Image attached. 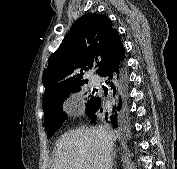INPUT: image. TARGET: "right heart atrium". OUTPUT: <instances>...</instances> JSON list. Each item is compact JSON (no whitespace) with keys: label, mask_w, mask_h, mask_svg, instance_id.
<instances>
[{"label":"right heart atrium","mask_w":177,"mask_h":169,"mask_svg":"<svg viewBox=\"0 0 177 169\" xmlns=\"http://www.w3.org/2000/svg\"><path fill=\"white\" fill-rule=\"evenodd\" d=\"M65 109L66 110H70L71 109V104L70 103H66L65 104Z\"/></svg>","instance_id":"obj_1"}]
</instances>
